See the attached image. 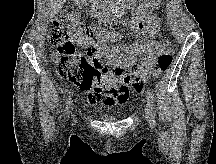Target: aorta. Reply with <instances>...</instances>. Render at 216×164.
I'll list each match as a JSON object with an SVG mask.
<instances>
[{
	"label": "aorta",
	"instance_id": "1",
	"mask_svg": "<svg viewBox=\"0 0 216 164\" xmlns=\"http://www.w3.org/2000/svg\"><path fill=\"white\" fill-rule=\"evenodd\" d=\"M110 2H111L110 7L112 9V12L117 13V11L119 9L120 0H110Z\"/></svg>",
	"mask_w": 216,
	"mask_h": 164
}]
</instances>
